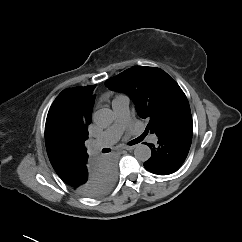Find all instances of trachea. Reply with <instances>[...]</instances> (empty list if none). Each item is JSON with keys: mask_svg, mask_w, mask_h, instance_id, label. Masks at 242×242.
Returning <instances> with one entry per match:
<instances>
[{"mask_svg": "<svg viewBox=\"0 0 242 242\" xmlns=\"http://www.w3.org/2000/svg\"><path fill=\"white\" fill-rule=\"evenodd\" d=\"M141 139H142V137H139V138H137V139L131 141V142L129 143V145L137 144V143H139V142L141 141ZM102 152H103V153L110 152V149H109V148H105V149L102 150Z\"/></svg>", "mask_w": 242, "mask_h": 242, "instance_id": "trachea-1", "label": "trachea"}]
</instances>
